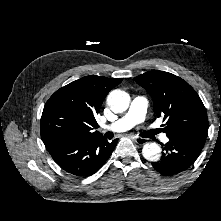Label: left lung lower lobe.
<instances>
[{
  "label": "left lung lower lobe",
  "mask_w": 221,
  "mask_h": 221,
  "mask_svg": "<svg viewBox=\"0 0 221 221\" xmlns=\"http://www.w3.org/2000/svg\"><path fill=\"white\" fill-rule=\"evenodd\" d=\"M207 133H196L182 137L169 138L162 146L166 153L152 166L161 174L173 176L187 170L198 158L206 141Z\"/></svg>",
  "instance_id": "1"
}]
</instances>
